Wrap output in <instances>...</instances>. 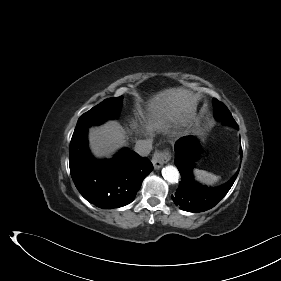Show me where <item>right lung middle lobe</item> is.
<instances>
[{
    "label": "right lung middle lobe",
    "mask_w": 281,
    "mask_h": 281,
    "mask_svg": "<svg viewBox=\"0 0 281 281\" xmlns=\"http://www.w3.org/2000/svg\"><path fill=\"white\" fill-rule=\"evenodd\" d=\"M122 103L123 97L104 100L79 118L74 132L87 129L91 125L100 124L107 119L117 117Z\"/></svg>",
    "instance_id": "1"
}]
</instances>
